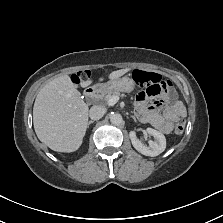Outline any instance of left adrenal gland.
I'll list each match as a JSON object with an SVG mask.
<instances>
[{
  "instance_id": "1",
  "label": "left adrenal gland",
  "mask_w": 223,
  "mask_h": 223,
  "mask_svg": "<svg viewBox=\"0 0 223 223\" xmlns=\"http://www.w3.org/2000/svg\"><path fill=\"white\" fill-rule=\"evenodd\" d=\"M130 117L133 118V120H134L135 122L137 121L136 118H135V116L131 115Z\"/></svg>"
}]
</instances>
